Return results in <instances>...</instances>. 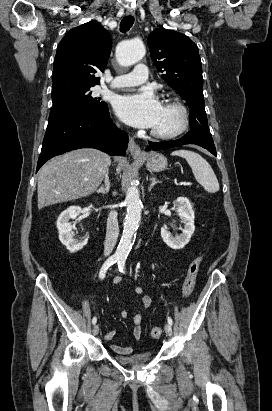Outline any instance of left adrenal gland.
Returning a JSON list of instances; mask_svg holds the SVG:
<instances>
[{
  "label": "left adrenal gland",
  "instance_id": "a2214340",
  "mask_svg": "<svg viewBox=\"0 0 272 411\" xmlns=\"http://www.w3.org/2000/svg\"><path fill=\"white\" fill-rule=\"evenodd\" d=\"M160 181L156 179V177L150 178V186L148 188L149 192L152 190V188L155 186V184L159 183Z\"/></svg>",
  "mask_w": 272,
  "mask_h": 411
}]
</instances>
